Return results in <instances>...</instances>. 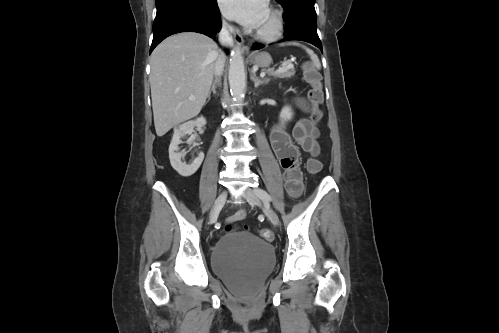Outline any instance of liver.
<instances>
[{
	"instance_id": "obj_1",
	"label": "liver",
	"mask_w": 499,
	"mask_h": 333,
	"mask_svg": "<svg viewBox=\"0 0 499 333\" xmlns=\"http://www.w3.org/2000/svg\"><path fill=\"white\" fill-rule=\"evenodd\" d=\"M220 55L212 39L195 32L172 35L155 48L150 85L157 136L200 113Z\"/></svg>"
}]
</instances>
